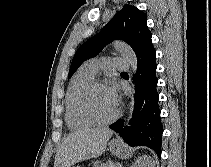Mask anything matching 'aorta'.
Instances as JSON below:
<instances>
[{
    "label": "aorta",
    "instance_id": "762f6f07",
    "mask_svg": "<svg viewBox=\"0 0 211 167\" xmlns=\"http://www.w3.org/2000/svg\"><path fill=\"white\" fill-rule=\"evenodd\" d=\"M113 47L123 55V57L126 59L128 64L130 65L132 72L135 73L137 69V58L132 48L126 43L118 42V41L113 43ZM133 106H134V98L132 96L131 101L128 106L129 118H131Z\"/></svg>",
    "mask_w": 211,
    "mask_h": 167
}]
</instances>
